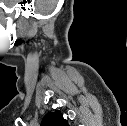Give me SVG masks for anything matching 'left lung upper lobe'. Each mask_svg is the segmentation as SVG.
I'll list each match as a JSON object with an SVG mask.
<instances>
[{"label":"left lung upper lobe","mask_w":127,"mask_h":126,"mask_svg":"<svg viewBox=\"0 0 127 126\" xmlns=\"http://www.w3.org/2000/svg\"><path fill=\"white\" fill-rule=\"evenodd\" d=\"M41 126H68L60 111L49 112L44 117Z\"/></svg>","instance_id":"5c2ea615"}]
</instances>
